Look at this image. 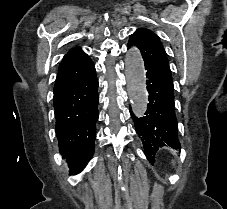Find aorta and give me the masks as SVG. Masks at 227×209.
I'll return each instance as SVG.
<instances>
[{
	"label": "aorta",
	"instance_id": "aorta-1",
	"mask_svg": "<svg viewBox=\"0 0 227 209\" xmlns=\"http://www.w3.org/2000/svg\"><path fill=\"white\" fill-rule=\"evenodd\" d=\"M125 74L132 111L138 116L144 115L148 104L146 76L142 55L136 47H131L126 54Z\"/></svg>",
	"mask_w": 227,
	"mask_h": 209
}]
</instances>
